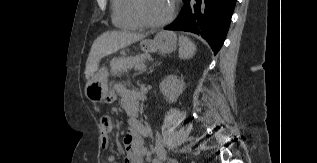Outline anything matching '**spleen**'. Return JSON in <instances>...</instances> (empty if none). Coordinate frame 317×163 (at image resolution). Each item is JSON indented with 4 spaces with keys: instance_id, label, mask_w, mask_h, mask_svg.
<instances>
[{
    "instance_id": "spleen-1",
    "label": "spleen",
    "mask_w": 317,
    "mask_h": 163,
    "mask_svg": "<svg viewBox=\"0 0 317 163\" xmlns=\"http://www.w3.org/2000/svg\"><path fill=\"white\" fill-rule=\"evenodd\" d=\"M179 57L181 59H190L195 55V44L185 36L179 37Z\"/></svg>"
}]
</instances>
